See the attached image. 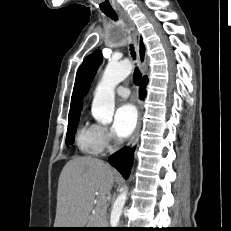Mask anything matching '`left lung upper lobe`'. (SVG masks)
Masks as SVG:
<instances>
[{
    "mask_svg": "<svg viewBox=\"0 0 231 231\" xmlns=\"http://www.w3.org/2000/svg\"><path fill=\"white\" fill-rule=\"evenodd\" d=\"M102 61V53L100 50H96L90 58L88 70H87V77H86V83H85V92L88 91L89 86L98 70L99 65Z\"/></svg>",
    "mask_w": 231,
    "mask_h": 231,
    "instance_id": "1",
    "label": "left lung upper lobe"
}]
</instances>
